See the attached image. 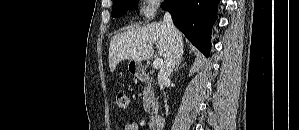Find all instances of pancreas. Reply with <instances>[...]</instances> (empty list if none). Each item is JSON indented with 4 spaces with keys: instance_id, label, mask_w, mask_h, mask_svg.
I'll list each match as a JSON object with an SVG mask.
<instances>
[{
    "instance_id": "cf45deb5",
    "label": "pancreas",
    "mask_w": 299,
    "mask_h": 130,
    "mask_svg": "<svg viewBox=\"0 0 299 130\" xmlns=\"http://www.w3.org/2000/svg\"><path fill=\"white\" fill-rule=\"evenodd\" d=\"M143 107L150 115H153L157 110V101L155 99L154 90L151 83L148 81L143 92Z\"/></svg>"
}]
</instances>
